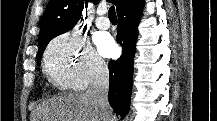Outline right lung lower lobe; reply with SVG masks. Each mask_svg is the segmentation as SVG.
<instances>
[{
  "label": "right lung lower lobe",
  "mask_w": 217,
  "mask_h": 121,
  "mask_svg": "<svg viewBox=\"0 0 217 121\" xmlns=\"http://www.w3.org/2000/svg\"><path fill=\"white\" fill-rule=\"evenodd\" d=\"M143 0H125L117 12L119 24L117 40L123 49L117 61L109 62L110 87L108 99L114 112L124 118L129 110L133 83V58L141 18Z\"/></svg>",
  "instance_id": "obj_1"
}]
</instances>
